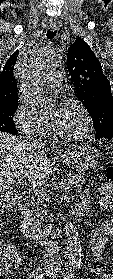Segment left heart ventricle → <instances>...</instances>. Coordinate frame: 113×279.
I'll list each match as a JSON object with an SVG mask.
<instances>
[{
	"mask_svg": "<svg viewBox=\"0 0 113 279\" xmlns=\"http://www.w3.org/2000/svg\"><path fill=\"white\" fill-rule=\"evenodd\" d=\"M46 118L54 129L62 135L76 134L82 127L80 114L72 106H65L60 114L57 109L50 108Z\"/></svg>",
	"mask_w": 113,
	"mask_h": 279,
	"instance_id": "1",
	"label": "left heart ventricle"
}]
</instances>
